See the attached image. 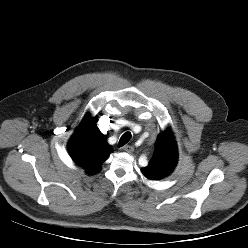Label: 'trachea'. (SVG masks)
I'll return each mask as SVG.
<instances>
[{"mask_svg":"<svg viewBox=\"0 0 248 248\" xmlns=\"http://www.w3.org/2000/svg\"><path fill=\"white\" fill-rule=\"evenodd\" d=\"M130 139H131V133L125 132L119 140V146L122 147L123 145L128 143Z\"/></svg>","mask_w":248,"mask_h":248,"instance_id":"3493384b","label":"trachea"}]
</instances>
